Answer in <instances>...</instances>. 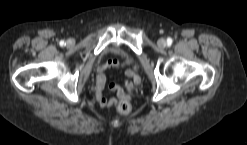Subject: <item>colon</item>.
<instances>
[{"label": "colon", "instance_id": "obj_1", "mask_svg": "<svg viewBox=\"0 0 247 145\" xmlns=\"http://www.w3.org/2000/svg\"><path fill=\"white\" fill-rule=\"evenodd\" d=\"M117 109L122 114H128L131 111V104L128 100L123 99L119 102Z\"/></svg>", "mask_w": 247, "mask_h": 145}]
</instances>
